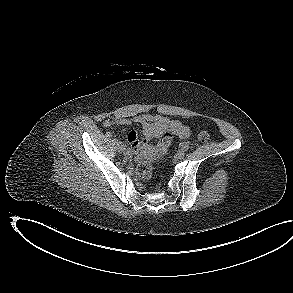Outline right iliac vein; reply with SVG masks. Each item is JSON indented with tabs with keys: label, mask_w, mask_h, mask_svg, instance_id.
Returning <instances> with one entry per match:
<instances>
[{
	"label": "right iliac vein",
	"mask_w": 293,
	"mask_h": 293,
	"mask_svg": "<svg viewBox=\"0 0 293 293\" xmlns=\"http://www.w3.org/2000/svg\"><path fill=\"white\" fill-rule=\"evenodd\" d=\"M116 148L119 152H123L124 151V145L121 142H117L116 143Z\"/></svg>",
	"instance_id": "obj_1"
}]
</instances>
